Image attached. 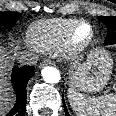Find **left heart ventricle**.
<instances>
[{"label": "left heart ventricle", "instance_id": "obj_1", "mask_svg": "<svg viewBox=\"0 0 116 116\" xmlns=\"http://www.w3.org/2000/svg\"><path fill=\"white\" fill-rule=\"evenodd\" d=\"M88 34H89V28L87 26H83L79 29L76 37L78 39H84L88 36Z\"/></svg>", "mask_w": 116, "mask_h": 116}]
</instances>
